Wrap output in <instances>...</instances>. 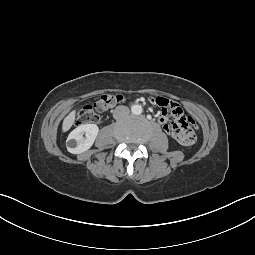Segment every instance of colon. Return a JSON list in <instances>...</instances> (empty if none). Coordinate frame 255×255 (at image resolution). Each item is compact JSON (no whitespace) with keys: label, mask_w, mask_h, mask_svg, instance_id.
<instances>
[{"label":"colon","mask_w":255,"mask_h":255,"mask_svg":"<svg viewBox=\"0 0 255 255\" xmlns=\"http://www.w3.org/2000/svg\"><path fill=\"white\" fill-rule=\"evenodd\" d=\"M123 97L119 94H104L93 105L84 106L77 116V125H83L87 123H95L99 120V113L106 112L117 103L121 102ZM179 106V105H178ZM180 108V107H179ZM186 121L195 131L199 130V127L191 116L186 117ZM178 141V140H177ZM179 142V141H178ZM186 146V145H185Z\"/></svg>","instance_id":"1"}]
</instances>
